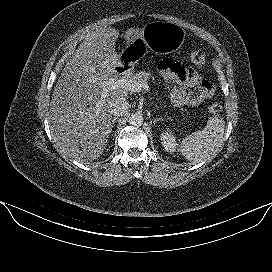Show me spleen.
Here are the masks:
<instances>
[{
    "label": "spleen",
    "instance_id": "3e777b00",
    "mask_svg": "<svg viewBox=\"0 0 272 272\" xmlns=\"http://www.w3.org/2000/svg\"><path fill=\"white\" fill-rule=\"evenodd\" d=\"M224 127L221 116L210 117L203 130L193 132L181 141L178 151L193 164L208 160L221 145Z\"/></svg>",
    "mask_w": 272,
    "mask_h": 272
}]
</instances>
